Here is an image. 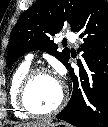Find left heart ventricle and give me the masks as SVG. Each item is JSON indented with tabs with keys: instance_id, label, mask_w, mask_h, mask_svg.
<instances>
[{
	"instance_id": "left-heart-ventricle-1",
	"label": "left heart ventricle",
	"mask_w": 108,
	"mask_h": 127,
	"mask_svg": "<svg viewBox=\"0 0 108 127\" xmlns=\"http://www.w3.org/2000/svg\"><path fill=\"white\" fill-rule=\"evenodd\" d=\"M62 86L52 74L38 75L29 90L30 105L41 112L51 110L59 101Z\"/></svg>"
}]
</instances>
